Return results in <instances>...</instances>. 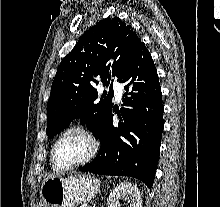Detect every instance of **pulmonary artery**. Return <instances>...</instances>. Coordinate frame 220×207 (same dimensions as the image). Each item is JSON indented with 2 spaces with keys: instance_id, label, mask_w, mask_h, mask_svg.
I'll use <instances>...</instances> for the list:
<instances>
[{
  "instance_id": "1",
  "label": "pulmonary artery",
  "mask_w": 220,
  "mask_h": 207,
  "mask_svg": "<svg viewBox=\"0 0 220 207\" xmlns=\"http://www.w3.org/2000/svg\"><path fill=\"white\" fill-rule=\"evenodd\" d=\"M113 90L115 93V97L118 101L121 100L122 98V93H123V87L119 82H113Z\"/></svg>"
}]
</instances>
